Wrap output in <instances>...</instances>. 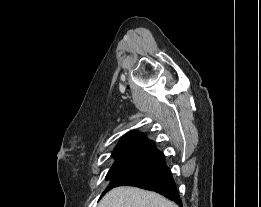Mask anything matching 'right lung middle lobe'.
<instances>
[{"instance_id": "obj_1", "label": "right lung middle lobe", "mask_w": 261, "mask_h": 207, "mask_svg": "<svg viewBox=\"0 0 261 207\" xmlns=\"http://www.w3.org/2000/svg\"><path fill=\"white\" fill-rule=\"evenodd\" d=\"M158 165V162L149 160H127L115 162L106 176V179H111V182L104 190L101 197L110 189L121 186L132 178L139 176Z\"/></svg>"}]
</instances>
